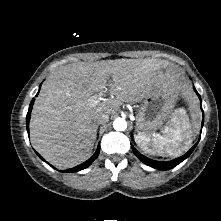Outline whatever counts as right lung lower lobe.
<instances>
[{"label": "right lung lower lobe", "instance_id": "obj_1", "mask_svg": "<svg viewBox=\"0 0 221 221\" xmlns=\"http://www.w3.org/2000/svg\"><path fill=\"white\" fill-rule=\"evenodd\" d=\"M34 101H35V99L33 98L32 101H31V103H30V105H29V110H28V113H27V116H26V125H27V131H28V133H29V121H30V116H31V111H32V107H33ZM99 152H100V146H98V148H97L96 152L94 153V155H93L90 159H88L86 162H84V163H82V164H80L79 166H76V167H74V168L68 169V170H66L65 172H77V171H80V170H83V169L87 168V167H88L89 165H91L92 162L98 157ZM36 153H37V152H36ZM37 155H38L43 161H45L39 153H37ZM47 164H49V163L47 162ZM49 165H50V164H49ZM50 166H51V165H50Z\"/></svg>", "mask_w": 221, "mask_h": 221}]
</instances>
